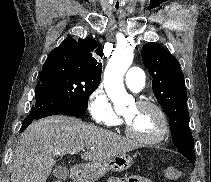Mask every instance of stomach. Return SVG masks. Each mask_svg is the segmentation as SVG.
Here are the masks:
<instances>
[{
	"instance_id": "0dacf381",
	"label": "stomach",
	"mask_w": 211,
	"mask_h": 182,
	"mask_svg": "<svg viewBox=\"0 0 211 182\" xmlns=\"http://www.w3.org/2000/svg\"><path fill=\"white\" fill-rule=\"evenodd\" d=\"M131 165V156L124 153L104 161L89 163L75 171L73 178L75 182H96L109 171H125Z\"/></svg>"
}]
</instances>
